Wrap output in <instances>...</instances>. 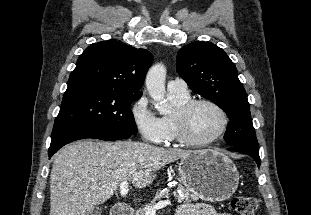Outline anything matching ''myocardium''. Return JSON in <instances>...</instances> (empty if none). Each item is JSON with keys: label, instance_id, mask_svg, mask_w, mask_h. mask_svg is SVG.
Masks as SVG:
<instances>
[{"label": "myocardium", "instance_id": "1", "mask_svg": "<svg viewBox=\"0 0 311 215\" xmlns=\"http://www.w3.org/2000/svg\"><path fill=\"white\" fill-rule=\"evenodd\" d=\"M203 104L212 106L220 113L222 118V124L220 129L213 136L206 140L199 141L193 139L190 136L188 129V120L192 110L196 106ZM173 121L176 126L178 140L182 144L190 147H204L214 143L226 132L229 123L226 111L215 101L206 98L190 99L185 104L176 108L173 114Z\"/></svg>", "mask_w": 311, "mask_h": 215}]
</instances>
